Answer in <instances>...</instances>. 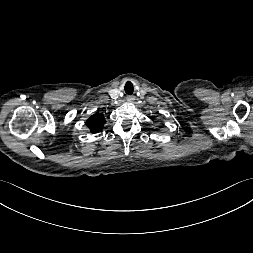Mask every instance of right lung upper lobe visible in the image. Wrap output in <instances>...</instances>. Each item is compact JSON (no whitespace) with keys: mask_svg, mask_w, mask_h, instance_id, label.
<instances>
[{"mask_svg":"<svg viewBox=\"0 0 253 253\" xmlns=\"http://www.w3.org/2000/svg\"><path fill=\"white\" fill-rule=\"evenodd\" d=\"M105 123L103 114H94L86 122V125L92 133L101 132Z\"/></svg>","mask_w":253,"mask_h":253,"instance_id":"cb5924a9","label":"right lung upper lobe"}]
</instances>
